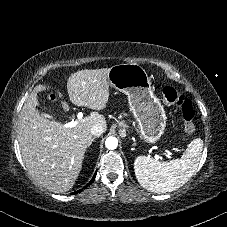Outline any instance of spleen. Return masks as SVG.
Wrapping results in <instances>:
<instances>
[{
	"label": "spleen",
	"instance_id": "spleen-1",
	"mask_svg": "<svg viewBox=\"0 0 227 227\" xmlns=\"http://www.w3.org/2000/svg\"><path fill=\"white\" fill-rule=\"evenodd\" d=\"M203 141L194 139L180 159L160 162L146 156L134 161L135 176L139 184L153 193L172 192L183 186L193 176L199 165Z\"/></svg>",
	"mask_w": 227,
	"mask_h": 227
}]
</instances>
